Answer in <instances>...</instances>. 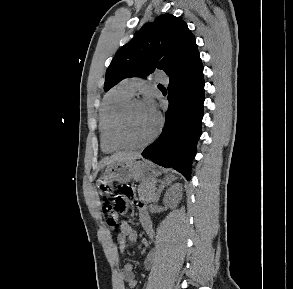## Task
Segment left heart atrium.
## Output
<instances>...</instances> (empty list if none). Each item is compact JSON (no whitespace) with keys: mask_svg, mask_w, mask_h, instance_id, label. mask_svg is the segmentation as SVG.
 <instances>
[{"mask_svg":"<svg viewBox=\"0 0 293 289\" xmlns=\"http://www.w3.org/2000/svg\"><path fill=\"white\" fill-rule=\"evenodd\" d=\"M145 105H146V107L149 109V111L151 113H153L154 115H156V105H155L154 101L149 100V101L146 102Z\"/></svg>","mask_w":293,"mask_h":289,"instance_id":"1","label":"left heart atrium"}]
</instances>
